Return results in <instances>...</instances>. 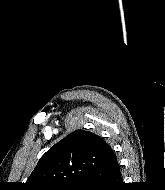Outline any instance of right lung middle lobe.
<instances>
[{
  "mask_svg": "<svg viewBox=\"0 0 165 190\" xmlns=\"http://www.w3.org/2000/svg\"><path fill=\"white\" fill-rule=\"evenodd\" d=\"M80 187H81V181H78L71 184L55 186V187L49 188L48 190H80Z\"/></svg>",
  "mask_w": 165,
  "mask_h": 190,
  "instance_id": "obj_1",
  "label": "right lung middle lobe"
}]
</instances>
